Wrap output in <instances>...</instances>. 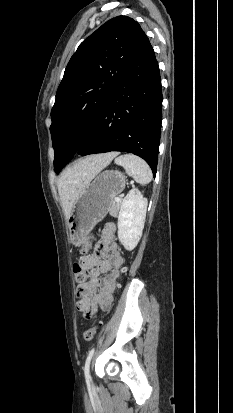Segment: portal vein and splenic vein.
<instances>
[{"instance_id": "obj_1", "label": "portal vein and splenic vein", "mask_w": 233, "mask_h": 413, "mask_svg": "<svg viewBox=\"0 0 233 413\" xmlns=\"http://www.w3.org/2000/svg\"><path fill=\"white\" fill-rule=\"evenodd\" d=\"M121 198L119 196L115 197V202H120Z\"/></svg>"}]
</instances>
